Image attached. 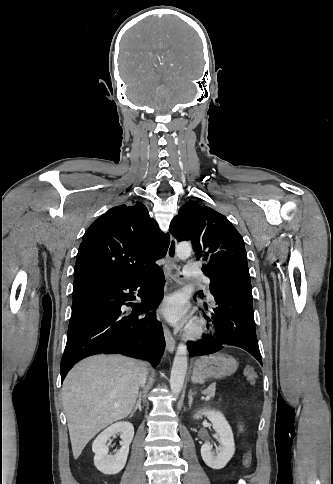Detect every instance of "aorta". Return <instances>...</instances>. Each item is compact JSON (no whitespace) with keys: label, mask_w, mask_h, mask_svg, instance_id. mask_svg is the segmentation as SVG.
Returning a JSON list of instances; mask_svg holds the SVG:
<instances>
[{"label":"aorta","mask_w":333,"mask_h":484,"mask_svg":"<svg viewBox=\"0 0 333 484\" xmlns=\"http://www.w3.org/2000/svg\"><path fill=\"white\" fill-rule=\"evenodd\" d=\"M192 247L187 242L179 243L176 247V254L178 258L185 259L191 255ZM187 347L185 344H179L173 360L170 377L171 391L179 394L183 388L185 375L187 372Z\"/></svg>","instance_id":"obj_1"}]
</instances>
